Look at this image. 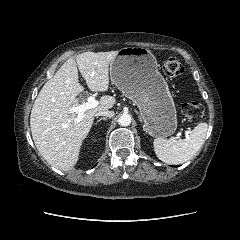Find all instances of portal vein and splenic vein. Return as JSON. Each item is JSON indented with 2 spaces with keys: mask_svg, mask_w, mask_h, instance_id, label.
Listing matches in <instances>:
<instances>
[{
  "mask_svg": "<svg viewBox=\"0 0 240 240\" xmlns=\"http://www.w3.org/2000/svg\"><path fill=\"white\" fill-rule=\"evenodd\" d=\"M98 105V101L95 99L94 95L88 97L87 102L73 106L69 109L72 113H77V122H80L83 119L84 112L95 108ZM185 136L188 137V132L185 133ZM181 137V133H178L175 139H179Z\"/></svg>",
  "mask_w": 240,
  "mask_h": 240,
  "instance_id": "18ae733b",
  "label": "portal vein and splenic vein"
}]
</instances>
